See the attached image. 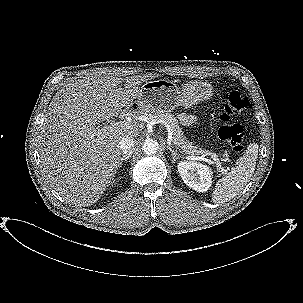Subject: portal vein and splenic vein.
<instances>
[{
    "label": "portal vein and splenic vein",
    "mask_w": 303,
    "mask_h": 303,
    "mask_svg": "<svg viewBox=\"0 0 303 303\" xmlns=\"http://www.w3.org/2000/svg\"><path fill=\"white\" fill-rule=\"evenodd\" d=\"M132 124L130 121H120V122H113V123H110L109 126H105L102 128L103 132H106V131H110V132H113V131H117V130H123V129H130L132 127ZM100 135H102V132L99 133ZM168 139L169 141L172 140V132L171 130L169 129V133H168ZM205 155H209L211 156V158L213 159V162L212 164H215L217 166V168L223 172V173H226L227 170L224 169L222 166H221V163L218 161L217 157L215 154H209V153H205Z\"/></svg>",
    "instance_id": "obj_1"
}]
</instances>
